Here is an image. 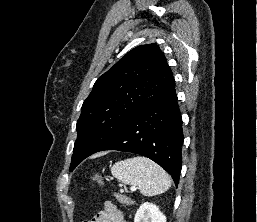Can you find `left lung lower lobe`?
Returning <instances> with one entry per match:
<instances>
[{
  "label": "left lung lower lobe",
  "instance_id": "left-lung-lower-lobe-1",
  "mask_svg": "<svg viewBox=\"0 0 257 222\" xmlns=\"http://www.w3.org/2000/svg\"><path fill=\"white\" fill-rule=\"evenodd\" d=\"M183 140L182 118L173 80L99 151L118 150L148 157L166 170L177 186Z\"/></svg>",
  "mask_w": 257,
  "mask_h": 222
}]
</instances>
